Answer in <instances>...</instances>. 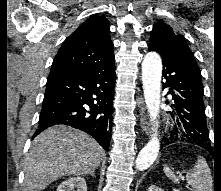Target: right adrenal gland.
Returning <instances> with one entry per match:
<instances>
[{"mask_svg": "<svg viewBox=\"0 0 221 191\" xmlns=\"http://www.w3.org/2000/svg\"><path fill=\"white\" fill-rule=\"evenodd\" d=\"M92 177H95V173L94 172H91L89 173Z\"/></svg>", "mask_w": 221, "mask_h": 191, "instance_id": "obj_1", "label": "right adrenal gland"}]
</instances>
